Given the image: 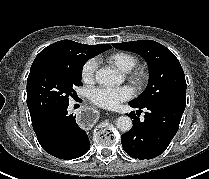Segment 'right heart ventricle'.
Wrapping results in <instances>:
<instances>
[{
    "label": "right heart ventricle",
    "mask_w": 209,
    "mask_h": 179,
    "mask_svg": "<svg viewBox=\"0 0 209 179\" xmlns=\"http://www.w3.org/2000/svg\"><path fill=\"white\" fill-rule=\"evenodd\" d=\"M106 61L121 72L130 71L137 63V58L128 52H114L106 56Z\"/></svg>",
    "instance_id": "1"
}]
</instances>
